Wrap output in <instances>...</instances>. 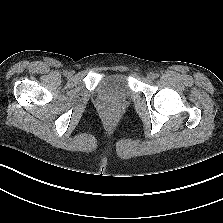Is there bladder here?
Listing matches in <instances>:
<instances>
[{
	"label": "bladder",
	"mask_w": 223,
	"mask_h": 223,
	"mask_svg": "<svg viewBox=\"0 0 223 223\" xmlns=\"http://www.w3.org/2000/svg\"><path fill=\"white\" fill-rule=\"evenodd\" d=\"M97 93L105 98L127 99L132 94L128 79L123 74H110L104 76L98 86Z\"/></svg>",
	"instance_id": "bladder-1"
}]
</instances>
